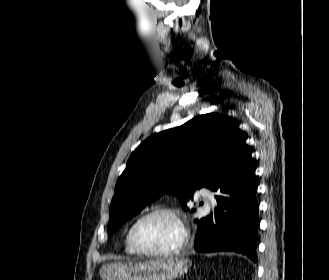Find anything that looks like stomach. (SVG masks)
<instances>
[{"mask_svg": "<svg viewBox=\"0 0 329 280\" xmlns=\"http://www.w3.org/2000/svg\"><path fill=\"white\" fill-rule=\"evenodd\" d=\"M191 261L184 258L158 259L147 262H113L100 269L102 280H172L184 275Z\"/></svg>", "mask_w": 329, "mask_h": 280, "instance_id": "obj_1", "label": "stomach"}]
</instances>
